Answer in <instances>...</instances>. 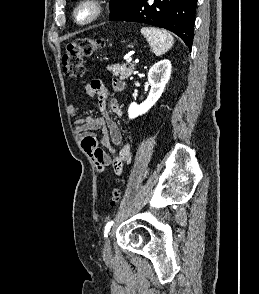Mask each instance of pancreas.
<instances>
[{"label": "pancreas", "instance_id": "cf45deb5", "mask_svg": "<svg viewBox=\"0 0 259 294\" xmlns=\"http://www.w3.org/2000/svg\"><path fill=\"white\" fill-rule=\"evenodd\" d=\"M134 69H135V64H123V65L114 64L107 67V70L112 72L113 75L115 76L120 75L121 80L127 79L129 76H131L133 74Z\"/></svg>", "mask_w": 259, "mask_h": 294}]
</instances>
